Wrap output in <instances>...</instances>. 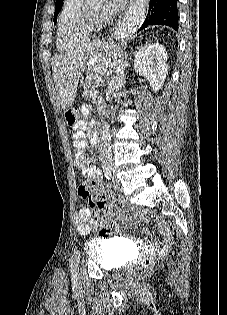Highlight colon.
I'll list each match as a JSON object with an SVG mask.
<instances>
[{
  "instance_id": "colon-1",
  "label": "colon",
  "mask_w": 227,
  "mask_h": 315,
  "mask_svg": "<svg viewBox=\"0 0 227 315\" xmlns=\"http://www.w3.org/2000/svg\"><path fill=\"white\" fill-rule=\"evenodd\" d=\"M78 113L76 109H68L65 112V121L69 127H73L77 124ZM78 194L81 198L88 202V205L94 210L99 226H103L99 234L102 237H108L117 230V225L110 221L112 208L110 206L112 195L110 192L101 188H94L91 191L88 190L86 184H80L78 187ZM153 266L151 258H144L137 262L133 269L134 277H140Z\"/></svg>"
}]
</instances>
